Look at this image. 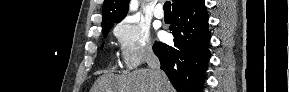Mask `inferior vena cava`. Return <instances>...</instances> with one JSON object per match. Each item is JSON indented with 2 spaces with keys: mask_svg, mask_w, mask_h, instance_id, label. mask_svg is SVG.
Masks as SVG:
<instances>
[{
  "mask_svg": "<svg viewBox=\"0 0 289 92\" xmlns=\"http://www.w3.org/2000/svg\"><path fill=\"white\" fill-rule=\"evenodd\" d=\"M146 61H147L148 67L154 71V74L157 80V88L161 89V86L165 80V74L161 71L160 61L158 57L153 53L152 49L148 50Z\"/></svg>",
  "mask_w": 289,
  "mask_h": 92,
  "instance_id": "602c4592",
  "label": "inferior vena cava"
}]
</instances>
